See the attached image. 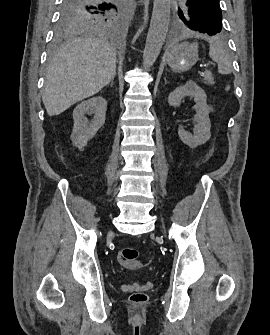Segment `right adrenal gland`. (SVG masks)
Returning <instances> with one entry per match:
<instances>
[{
  "label": "right adrenal gland",
  "mask_w": 270,
  "mask_h": 335,
  "mask_svg": "<svg viewBox=\"0 0 270 335\" xmlns=\"http://www.w3.org/2000/svg\"><path fill=\"white\" fill-rule=\"evenodd\" d=\"M113 80H114V78H113ZM113 80H111V82H110V86H113Z\"/></svg>",
  "instance_id": "2a0ac1e0"
}]
</instances>
